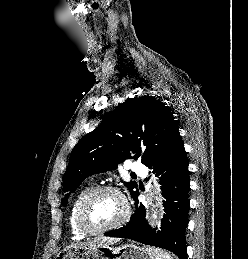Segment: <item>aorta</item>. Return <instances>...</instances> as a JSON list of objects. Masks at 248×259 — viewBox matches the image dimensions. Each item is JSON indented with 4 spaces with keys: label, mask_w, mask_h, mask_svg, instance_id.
Returning <instances> with one entry per match:
<instances>
[{
    "label": "aorta",
    "mask_w": 248,
    "mask_h": 259,
    "mask_svg": "<svg viewBox=\"0 0 248 259\" xmlns=\"http://www.w3.org/2000/svg\"><path fill=\"white\" fill-rule=\"evenodd\" d=\"M158 190V189H157ZM158 207H159V202H156L154 205H153V209H152V219H156L157 216H158Z\"/></svg>",
    "instance_id": "762f6f07"
}]
</instances>
